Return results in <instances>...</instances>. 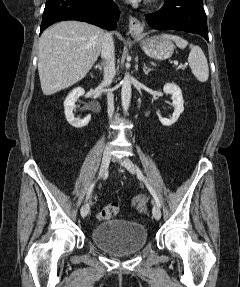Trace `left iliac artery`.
<instances>
[{
	"mask_svg": "<svg viewBox=\"0 0 240 287\" xmlns=\"http://www.w3.org/2000/svg\"><path fill=\"white\" fill-rule=\"evenodd\" d=\"M136 169H137L138 177L144 181V183L146 184L148 190H149L150 193L152 194V196H153V198H154V200H155L157 206H158L159 208H161V202H160L159 198L157 197L155 191L153 190V188H152L151 185L149 184L148 180L143 176L141 170H140L138 167H136Z\"/></svg>",
	"mask_w": 240,
	"mask_h": 287,
	"instance_id": "left-iliac-artery-1",
	"label": "left iliac artery"
}]
</instances>
